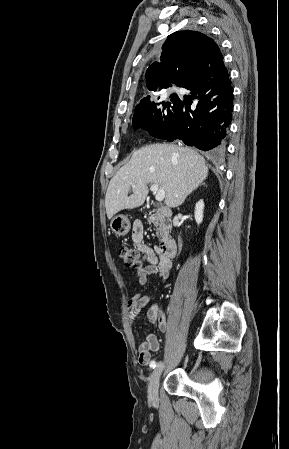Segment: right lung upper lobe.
<instances>
[{"mask_svg": "<svg viewBox=\"0 0 289 449\" xmlns=\"http://www.w3.org/2000/svg\"><path fill=\"white\" fill-rule=\"evenodd\" d=\"M162 50L160 63L150 65L145 75L147 88L155 92L172 84L182 86L204 81L224 66L218 45L197 31L181 30L170 34ZM146 98L151 97L142 100Z\"/></svg>", "mask_w": 289, "mask_h": 449, "instance_id": "1", "label": "right lung upper lobe"}]
</instances>
